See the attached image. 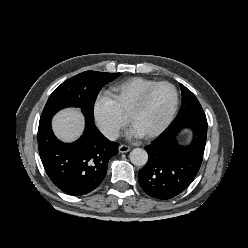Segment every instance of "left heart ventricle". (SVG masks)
<instances>
[{"label": "left heart ventricle", "mask_w": 248, "mask_h": 248, "mask_svg": "<svg viewBox=\"0 0 248 248\" xmlns=\"http://www.w3.org/2000/svg\"><path fill=\"white\" fill-rule=\"evenodd\" d=\"M174 101V94L168 86H158L149 95L146 104L132 120V127L141 135L157 129L168 117Z\"/></svg>", "instance_id": "obj_1"}]
</instances>
